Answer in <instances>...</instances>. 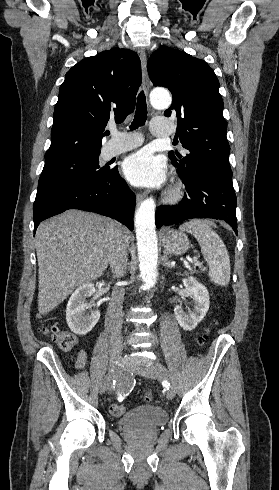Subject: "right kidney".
<instances>
[{"label":"right kidney","instance_id":"obj_1","mask_svg":"<svg viewBox=\"0 0 279 490\" xmlns=\"http://www.w3.org/2000/svg\"><path fill=\"white\" fill-rule=\"evenodd\" d=\"M94 292V284L88 282V284H81L69 298L66 308V322L71 332L78 334V336H85L91 332L100 318L99 310L87 314V310H90L92 306L87 304L86 298L93 296Z\"/></svg>","mask_w":279,"mask_h":490}]
</instances>
